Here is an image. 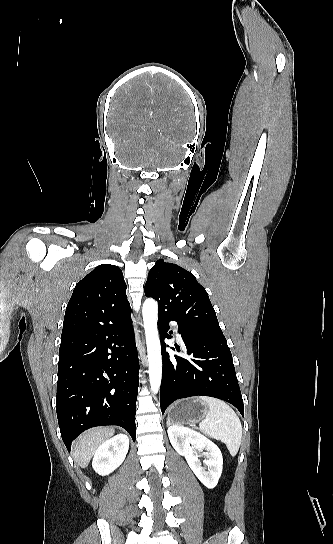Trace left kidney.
Masks as SVG:
<instances>
[{"mask_svg": "<svg viewBox=\"0 0 333 544\" xmlns=\"http://www.w3.org/2000/svg\"><path fill=\"white\" fill-rule=\"evenodd\" d=\"M168 437L173 448L180 455L184 456L188 465L197 478L209 489L214 488L222 473L223 457L219 447L201 433L178 425L168 428ZM192 445V446H191ZM193 448L207 453V470L202 467L198 455H195Z\"/></svg>", "mask_w": 333, "mask_h": 544, "instance_id": "1", "label": "left kidney"}]
</instances>
